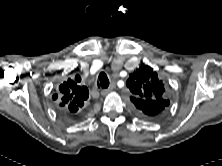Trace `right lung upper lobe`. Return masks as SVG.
Returning a JSON list of instances; mask_svg holds the SVG:
<instances>
[{
    "mask_svg": "<svg viewBox=\"0 0 222 166\" xmlns=\"http://www.w3.org/2000/svg\"><path fill=\"white\" fill-rule=\"evenodd\" d=\"M80 77L77 75L75 78L72 76L68 78L64 83L59 86V97L61 98V106L65 105L64 112L75 113L80 107L83 106L84 101L88 98V89L85 86L79 84ZM58 96L55 95L56 99ZM59 98V101H60Z\"/></svg>",
    "mask_w": 222,
    "mask_h": 166,
    "instance_id": "obj_1",
    "label": "right lung upper lobe"
}]
</instances>
